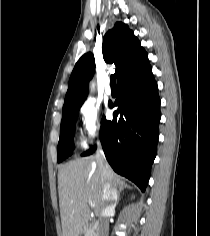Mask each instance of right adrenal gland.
Wrapping results in <instances>:
<instances>
[{
    "label": "right adrenal gland",
    "instance_id": "obj_1",
    "mask_svg": "<svg viewBox=\"0 0 210 236\" xmlns=\"http://www.w3.org/2000/svg\"><path fill=\"white\" fill-rule=\"evenodd\" d=\"M129 189L130 186H128L126 183L122 182L120 185H119V191L117 193V201H116V204L119 202V198H120V193L124 190V189Z\"/></svg>",
    "mask_w": 210,
    "mask_h": 236
}]
</instances>
